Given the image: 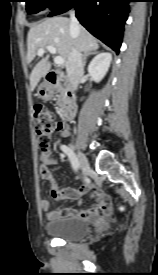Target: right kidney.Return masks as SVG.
<instances>
[{
  "label": "right kidney",
  "instance_id": "1",
  "mask_svg": "<svg viewBox=\"0 0 158 275\" xmlns=\"http://www.w3.org/2000/svg\"><path fill=\"white\" fill-rule=\"evenodd\" d=\"M112 61L111 53L102 52L96 55L90 64L88 65V73L92 80L95 82H100L110 67Z\"/></svg>",
  "mask_w": 158,
  "mask_h": 275
}]
</instances>
